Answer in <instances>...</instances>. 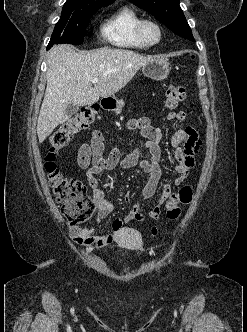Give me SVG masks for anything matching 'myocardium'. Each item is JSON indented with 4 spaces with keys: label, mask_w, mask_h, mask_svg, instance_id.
I'll return each instance as SVG.
<instances>
[{
    "label": "myocardium",
    "mask_w": 247,
    "mask_h": 332,
    "mask_svg": "<svg viewBox=\"0 0 247 332\" xmlns=\"http://www.w3.org/2000/svg\"><path fill=\"white\" fill-rule=\"evenodd\" d=\"M146 25H153L157 29V32H158V38H157V40H155V41H149L146 38V36L144 34V29H145ZM136 33H137V36L140 39V41L143 44H145L147 47L154 46V45L160 43V41L163 38V30H162L161 25L157 21H155L153 19H142L138 23V25L136 27Z\"/></svg>",
    "instance_id": "obj_1"
}]
</instances>
